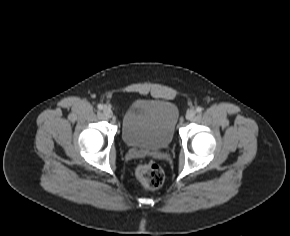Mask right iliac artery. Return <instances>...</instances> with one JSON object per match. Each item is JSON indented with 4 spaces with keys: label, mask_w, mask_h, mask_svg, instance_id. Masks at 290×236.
I'll use <instances>...</instances> for the list:
<instances>
[{
    "label": "right iliac artery",
    "mask_w": 290,
    "mask_h": 236,
    "mask_svg": "<svg viewBox=\"0 0 290 236\" xmlns=\"http://www.w3.org/2000/svg\"><path fill=\"white\" fill-rule=\"evenodd\" d=\"M97 107H98V109H100V110L103 109V105H102V104H99Z\"/></svg>",
    "instance_id": "obj_1"
}]
</instances>
